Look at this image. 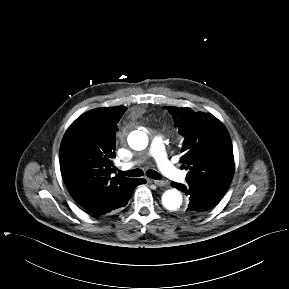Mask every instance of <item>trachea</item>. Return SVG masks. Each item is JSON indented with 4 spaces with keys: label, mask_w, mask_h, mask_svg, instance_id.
Wrapping results in <instances>:
<instances>
[{
    "label": "trachea",
    "mask_w": 289,
    "mask_h": 289,
    "mask_svg": "<svg viewBox=\"0 0 289 289\" xmlns=\"http://www.w3.org/2000/svg\"><path fill=\"white\" fill-rule=\"evenodd\" d=\"M120 174L125 175V176H129V177H140L143 175V171L141 169H133L130 171H125V172L120 171ZM146 175L149 178L156 179V180H159L161 178V175L154 170H148L146 172Z\"/></svg>",
    "instance_id": "obj_1"
}]
</instances>
